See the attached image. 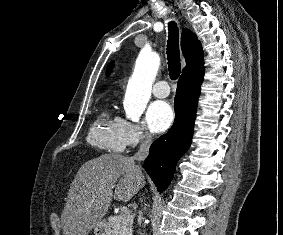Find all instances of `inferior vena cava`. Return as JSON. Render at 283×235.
Segmentation results:
<instances>
[{
    "mask_svg": "<svg viewBox=\"0 0 283 235\" xmlns=\"http://www.w3.org/2000/svg\"><path fill=\"white\" fill-rule=\"evenodd\" d=\"M152 136L150 134H144L141 138V143L137 153L131 157L132 160L143 161L148 156ZM140 168V166H138Z\"/></svg>",
    "mask_w": 283,
    "mask_h": 235,
    "instance_id": "1",
    "label": "inferior vena cava"
}]
</instances>
